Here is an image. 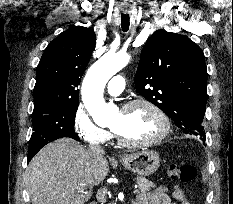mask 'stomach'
Here are the masks:
<instances>
[{
  "mask_svg": "<svg viewBox=\"0 0 233 204\" xmlns=\"http://www.w3.org/2000/svg\"><path fill=\"white\" fill-rule=\"evenodd\" d=\"M160 161L156 151L147 149L124 155L121 158V163L126 169L142 177L155 173L160 166Z\"/></svg>",
  "mask_w": 233,
  "mask_h": 204,
  "instance_id": "0dacf381",
  "label": "stomach"
}]
</instances>
